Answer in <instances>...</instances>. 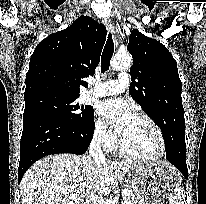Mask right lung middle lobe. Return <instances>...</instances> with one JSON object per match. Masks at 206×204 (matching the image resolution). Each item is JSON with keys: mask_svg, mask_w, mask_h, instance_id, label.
Instances as JSON below:
<instances>
[{"mask_svg": "<svg viewBox=\"0 0 206 204\" xmlns=\"http://www.w3.org/2000/svg\"><path fill=\"white\" fill-rule=\"evenodd\" d=\"M78 97L56 93L30 96L25 98L24 114L44 111L73 124L83 125L94 118V111L92 106H80L76 102Z\"/></svg>", "mask_w": 206, "mask_h": 204, "instance_id": "1", "label": "right lung middle lobe"}]
</instances>
